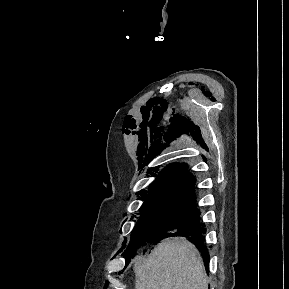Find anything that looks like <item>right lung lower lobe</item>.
<instances>
[{
    "mask_svg": "<svg viewBox=\"0 0 289 289\" xmlns=\"http://www.w3.org/2000/svg\"><path fill=\"white\" fill-rule=\"evenodd\" d=\"M204 234H205V225L203 222L200 221V212L198 209H194L193 215L191 216V219L188 220L182 228H180L176 233H173V235L169 236H185L189 238L190 241H192L195 246L199 249L203 256V260L205 262V266L207 268L209 263V255H208V249L204 245ZM166 236V237H169ZM165 238V236H154L151 238H147L143 241L136 242L132 244L127 252L125 253L126 257L132 256L133 252L140 247L142 243H146V241H159L161 239Z\"/></svg>",
    "mask_w": 289,
    "mask_h": 289,
    "instance_id": "right-lung-lower-lobe-1",
    "label": "right lung lower lobe"
}]
</instances>
